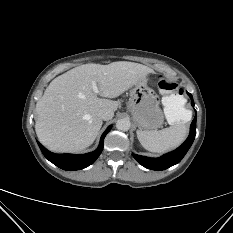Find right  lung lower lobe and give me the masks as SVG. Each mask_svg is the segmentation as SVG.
Wrapping results in <instances>:
<instances>
[{
  "mask_svg": "<svg viewBox=\"0 0 233 233\" xmlns=\"http://www.w3.org/2000/svg\"><path fill=\"white\" fill-rule=\"evenodd\" d=\"M112 126H109L106 131L101 136L100 144L97 150L91 153L82 154V155H73V154H55L48 151L42 144L38 141V145L43 153V155L54 165L58 166L64 170H80L88 167L99 157L103 149L104 138L106 134L110 131Z\"/></svg>",
  "mask_w": 233,
  "mask_h": 233,
  "instance_id": "right-lung-lower-lobe-1",
  "label": "right lung lower lobe"
}]
</instances>
